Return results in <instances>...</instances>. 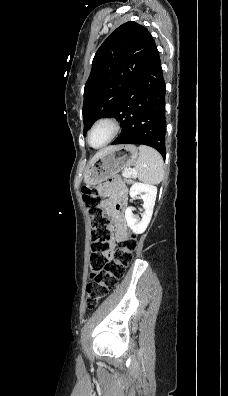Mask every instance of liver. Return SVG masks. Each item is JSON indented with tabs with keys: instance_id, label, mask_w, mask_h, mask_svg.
<instances>
[{
	"instance_id": "obj_1",
	"label": "liver",
	"mask_w": 228,
	"mask_h": 396,
	"mask_svg": "<svg viewBox=\"0 0 228 396\" xmlns=\"http://www.w3.org/2000/svg\"><path fill=\"white\" fill-rule=\"evenodd\" d=\"M111 148H113V146L108 147V148H106V149H104V150L98 152V153L92 158V160L90 161V163L94 162L99 156H101L102 154H104L105 152H107L108 150H110Z\"/></svg>"
}]
</instances>
